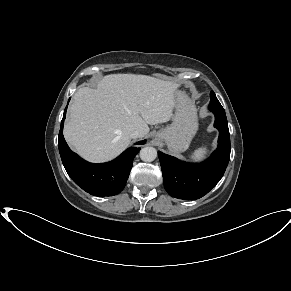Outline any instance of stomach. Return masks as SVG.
I'll return each instance as SVG.
<instances>
[{
  "instance_id": "0dacf381",
  "label": "stomach",
  "mask_w": 291,
  "mask_h": 291,
  "mask_svg": "<svg viewBox=\"0 0 291 291\" xmlns=\"http://www.w3.org/2000/svg\"><path fill=\"white\" fill-rule=\"evenodd\" d=\"M175 114L173 123L156 134L171 152L179 153L188 149L198 130L196 107L185 92H175Z\"/></svg>"
}]
</instances>
